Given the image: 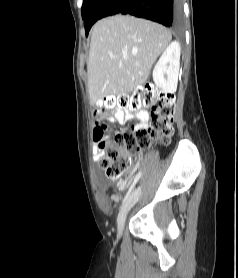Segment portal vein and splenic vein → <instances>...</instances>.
I'll use <instances>...</instances> for the list:
<instances>
[{"label": "portal vein and splenic vein", "mask_w": 238, "mask_h": 278, "mask_svg": "<svg viewBox=\"0 0 238 278\" xmlns=\"http://www.w3.org/2000/svg\"><path fill=\"white\" fill-rule=\"evenodd\" d=\"M124 59H127V57H126V56H124Z\"/></svg>", "instance_id": "portal-vein-and-splenic-vein-1"}]
</instances>
